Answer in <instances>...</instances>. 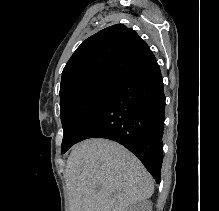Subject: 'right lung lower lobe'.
<instances>
[{"label": "right lung lower lobe", "instance_id": "right-lung-lower-lobe-1", "mask_svg": "<svg viewBox=\"0 0 219 211\" xmlns=\"http://www.w3.org/2000/svg\"><path fill=\"white\" fill-rule=\"evenodd\" d=\"M165 95L156 60L118 83L75 144L88 138L116 141L135 154L160 183Z\"/></svg>", "mask_w": 219, "mask_h": 211}]
</instances>
